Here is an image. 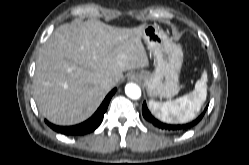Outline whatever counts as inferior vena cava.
Returning <instances> with one entry per match:
<instances>
[{"label": "inferior vena cava", "instance_id": "obj_1", "mask_svg": "<svg viewBox=\"0 0 249 165\" xmlns=\"http://www.w3.org/2000/svg\"><path fill=\"white\" fill-rule=\"evenodd\" d=\"M102 85L105 88H112L115 85V82L112 78H106L102 81Z\"/></svg>", "mask_w": 249, "mask_h": 165}]
</instances>
